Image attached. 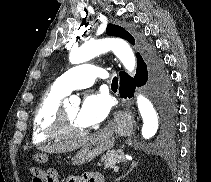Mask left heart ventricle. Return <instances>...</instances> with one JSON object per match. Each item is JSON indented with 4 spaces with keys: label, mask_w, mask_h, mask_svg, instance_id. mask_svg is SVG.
I'll use <instances>...</instances> for the list:
<instances>
[{
    "label": "left heart ventricle",
    "mask_w": 211,
    "mask_h": 182,
    "mask_svg": "<svg viewBox=\"0 0 211 182\" xmlns=\"http://www.w3.org/2000/svg\"><path fill=\"white\" fill-rule=\"evenodd\" d=\"M77 106H67L64 107L65 116L68 122L69 127L74 131L84 130L85 127L81 125L77 119L78 113Z\"/></svg>",
    "instance_id": "b2bd125f"
}]
</instances>
